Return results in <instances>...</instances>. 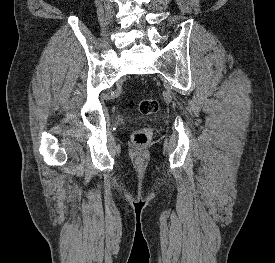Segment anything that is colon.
I'll return each mask as SVG.
<instances>
[{
  "mask_svg": "<svg viewBox=\"0 0 275 263\" xmlns=\"http://www.w3.org/2000/svg\"><path fill=\"white\" fill-rule=\"evenodd\" d=\"M157 101L151 98L143 99L138 104V109L143 115H151L157 111ZM153 137V130L150 127L137 129L132 135V141L136 146L148 145Z\"/></svg>",
  "mask_w": 275,
  "mask_h": 263,
  "instance_id": "5ec220e1",
  "label": "colon"
}]
</instances>
